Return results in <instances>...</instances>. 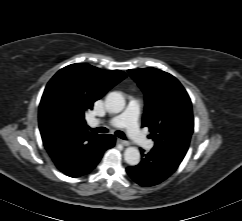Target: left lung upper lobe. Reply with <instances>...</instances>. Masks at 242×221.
Here are the masks:
<instances>
[{"instance_id": "obj_1", "label": "left lung upper lobe", "mask_w": 242, "mask_h": 221, "mask_svg": "<svg viewBox=\"0 0 242 221\" xmlns=\"http://www.w3.org/2000/svg\"><path fill=\"white\" fill-rule=\"evenodd\" d=\"M145 95L142 126L155 146L183 159L194 129L191 100L171 74L155 68L128 70Z\"/></svg>"}]
</instances>
